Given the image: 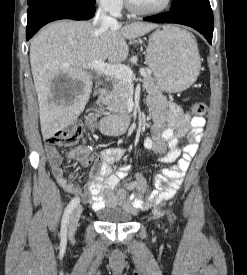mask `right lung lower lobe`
Listing matches in <instances>:
<instances>
[{
	"instance_id": "right-lung-lower-lobe-1",
	"label": "right lung lower lobe",
	"mask_w": 247,
	"mask_h": 275,
	"mask_svg": "<svg viewBox=\"0 0 247 275\" xmlns=\"http://www.w3.org/2000/svg\"><path fill=\"white\" fill-rule=\"evenodd\" d=\"M95 14L94 5L65 0H50L28 8L26 38L29 40L42 26L59 19L88 20Z\"/></svg>"
}]
</instances>
